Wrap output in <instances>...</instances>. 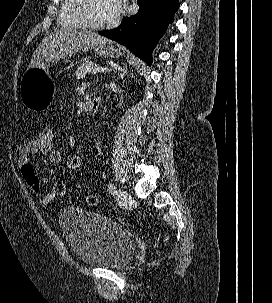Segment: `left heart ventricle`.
<instances>
[{"mask_svg": "<svg viewBox=\"0 0 272 303\" xmlns=\"http://www.w3.org/2000/svg\"><path fill=\"white\" fill-rule=\"evenodd\" d=\"M89 16L96 23H106L112 20L108 0H90Z\"/></svg>", "mask_w": 272, "mask_h": 303, "instance_id": "obj_1", "label": "left heart ventricle"}]
</instances>
